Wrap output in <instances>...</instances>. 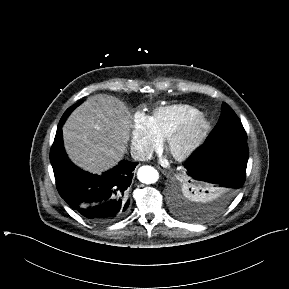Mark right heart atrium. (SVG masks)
<instances>
[{
	"label": "right heart atrium",
	"instance_id": "1",
	"mask_svg": "<svg viewBox=\"0 0 289 289\" xmlns=\"http://www.w3.org/2000/svg\"><path fill=\"white\" fill-rule=\"evenodd\" d=\"M161 145L162 141L154 133L149 116L136 112L132 117L130 131V146L135 157L148 159Z\"/></svg>",
	"mask_w": 289,
	"mask_h": 289
}]
</instances>
